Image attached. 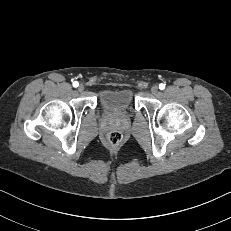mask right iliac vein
<instances>
[{
  "mask_svg": "<svg viewBox=\"0 0 231 231\" xmlns=\"http://www.w3.org/2000/svg\"><path fill=\"white\" fill-rule=\"evenodd\" d=\"M78 90H79V91H83V90H84V85H83V84H80L79 87H78Z\"/></svg>",
  "mask_w": 231,
  "mask_h": 231,
  "instance_id": "obj_1",
  "label": "right iliac vein"
}]
</instances>
